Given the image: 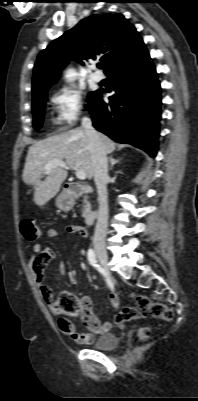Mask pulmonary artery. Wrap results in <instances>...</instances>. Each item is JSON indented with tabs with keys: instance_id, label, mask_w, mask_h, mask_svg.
<instances>
[{
	"instance_id": "1",
	"label": "pulmonary artery",
	"mask_w": 198,
	"mask_h": 401,
	"mask_svg": "<svg viewBox=\"0 0 198 401\" xmlns=\"http://www.w3.org/2000/svg\"><path fill=\"white\" fill-rule=\"evenodd\" d=\"M93 68H96L95 64L93 65ZM92 78L96 83H99V82H101L103 80V74L100 71L96 70L93 73Z\"/></svg>"
}]
</instances>
